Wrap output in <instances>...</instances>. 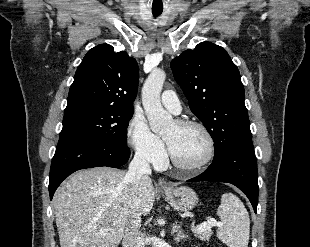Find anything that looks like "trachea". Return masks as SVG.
Wrapping results in <instances>:
<instances>
[{
	"mask_svg": "<svg viewBox=\"0 0 310 247\" xmlns=\"http://www.w3.org/2000/svg\"><path fill=\"white\" fill-rule=\"evenodd\" d=\"M162 13V10H152V14L154 17L159 16Z\"/></svg>",
	"mask_w": 310,
	"mask_h": 247,
	"instance_id": "obj_1",
	"label": "trachea"
}]
</instances>
